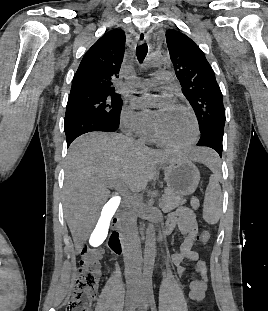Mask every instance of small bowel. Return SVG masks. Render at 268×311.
<instances>
[{"instance_id":"1","label":"small bowel","mask_w":268,"mask_h":311,"mask_svg":"<svg viewBox=\"0 0 268 311\" xmlns=\"http://www.w3.org/2000/svg\"><path fill=\"white\" fill-rule=\"evenodd\" d=\"M176 227L183 234L184 239L179 250L172 254L171 261L177 267L179 276L187 270L182 265L185 259L196 263L195 271L199 278L191 281L189 297L194 302H200L208 288V269L205 261L201 260L198 252L194 250L198 236V224L194 212L189 208L182 207L171 213L163 226V232L170 235Z\"/></svg>"}]
</instances>
